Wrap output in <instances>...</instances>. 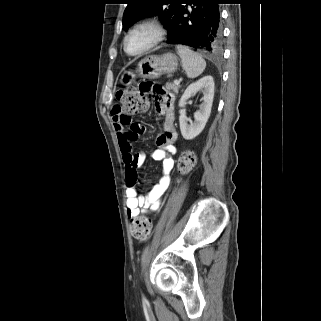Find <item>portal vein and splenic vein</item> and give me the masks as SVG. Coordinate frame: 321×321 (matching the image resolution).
<instances>
[{"label": "portal vein and splenic vein", "instance_id": "1", "mask_svg": "<svg viewBox=\"0 0 321 321\" xmlns=\"http://www.w3.org/2000/svg\"><path fill=\"white\" fill-rule=\"evenodd\" d=\"M174 83L179 84L180 80H175Z\"/></svg>", "mask_w": 321, "mask_h": 321}]
</instances>
